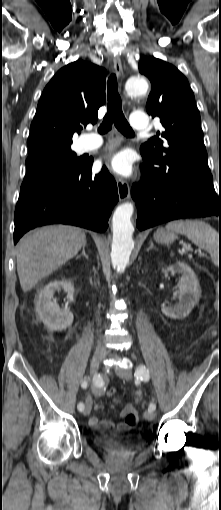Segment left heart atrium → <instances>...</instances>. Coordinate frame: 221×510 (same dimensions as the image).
<instances>
[{"label": "left heart atrium", "instance_id": "obj_1", "mask_svg": "<svg viewBox=\"0 0 221 510\" xmlns=\"http://www.w3.org/2000/svg\"><path fill=\"white\" fill-rule=\"evenodd\" d=\"M113 170L122 175H129L131 172V157L128 153H119L111 160Z\"/></svg>", "mask_w": 221, "mask_h": 510}]
</instances>
